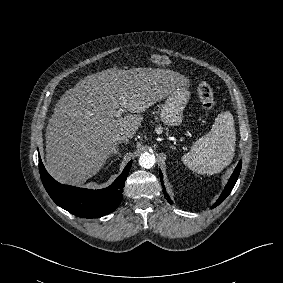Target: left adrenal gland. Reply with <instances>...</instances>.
Returning <instances> with one entry per match:
<instances>
[{"label": "left adrenal gland", "instance_id": "a2214340", "mask_svg": "<svg viewBox=\"0 0 283 283\" xmlns=\"http://www.w3.org/2000/svg\"><path fill=\"white\" fill-rule=\"evenodd\" d=\"M170 148H171V149H176V148H175L174 146H172V145L170 146Z\"/></svg>", "mask_w": 283, "mask_h": 283}]
</instances>
